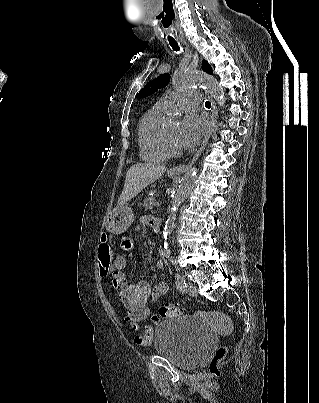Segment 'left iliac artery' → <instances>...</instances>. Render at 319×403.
<instances>
[{
	"instance_id": "left-iliac-artery-1",
	"label": "left iliac artery",
	"mask_w": 319,
	"mask_h": 403,
	"mask_svg": "<svg viewBox=\"0 0 319 403\" xmlns=\"http://www.w3.org/2000/svg\"><path fill=\"white\" fill-rule=\"evenodd\" d=\"M175 281H176L177 289L180 292L184 293L185 290H186V286H187L186 282H185V279H184V276L182 274H180L179 272H176L175 273Z\"/></svg>"
}]
</instances>
